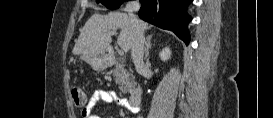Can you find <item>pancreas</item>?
I'll return each mask as SVG.
<instances>
[{
    "label": "pancreas",
    "mask_w": 273,
    "mask_h": 118,
    "mask_svg": "<svg viewBox=\"0 0 273 118\" xmlns=\"http://www.w3.org/2000/svg\"><path fill=\"white\" fill-rule=\"evenodd\" d=\"M112 73L115 77L116 84L119 85V89L123 93H127L132 90L133 79L131 78L130 74L123 69L120 63L117 62L115 64V68L112 70Z\"/></svg>",
    "instance_id": "pancreas-1"
}]
</instances>
